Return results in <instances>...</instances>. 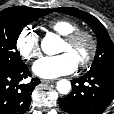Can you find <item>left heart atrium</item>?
Masks as SVG:
<instances>
[{"instance_id": "39dd6f15", "label": "left heart atrium", "mask_w": 114, "mask_h": 114, "mask_svg": "<svg viewBox=\"0 0 114 114\" xmlns=\"http://www.w3.org/2000/svg\"><path fill=\"white\" fill-rule=\"evenodd\" d=\"M77 65L70 53L63 52L57 56L41 57L33 64L32 70L41 78L52 79L73 73Z\"/></svg>"}]
</instances>
